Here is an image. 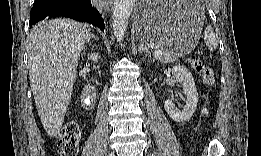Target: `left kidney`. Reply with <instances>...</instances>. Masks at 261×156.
<instances>
[{"instance_id":"obj_1","label":"left kidney","mask_w":261,"mask_h":156,"mask_svg":"<svg viewBox=\"0 0 261 156\" xmlns=\"http://www.w3.org/2000/svg\"><path fill=\"white\" fill-rule=\"evenodd\" d=\"M172 75L175 82L180 83L183 87V93L186 96L185 104L182 111L176 108L171 99L164 102V108L167 114L176 122L183 123L188 121L194 114L198 104V93L196 90L194 78L191 72L184 66L178 65L172 68Z\"/></svg>"}]
</instances>
